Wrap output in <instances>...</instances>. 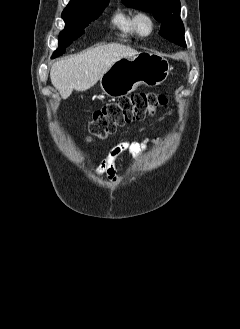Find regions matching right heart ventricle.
<instances>
[{"mask_svg": "<svg viewBox=\"0 0 240 329\" xmlns=\"http://www.w3.org/2000/svg\"><path fill=\"white\" fill-rule=\"evenodd\" d=\"M135 13L120 9L112 17V27L121 38L128 39L136 35L134 31Z\"/></svg>", "mask_w": 240, "mask_h": 329, "instance_id": "e07e8e85", "label": "right heart ventricle"}]
</instances>
